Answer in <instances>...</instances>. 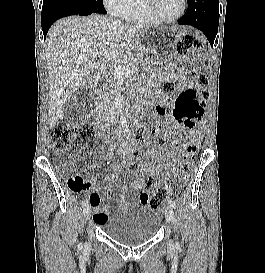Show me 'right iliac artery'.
<instances>
[{
  "label": "right iliac artery",
  "instance_id": "82829eb1",
  "mask_svg": "<svg viewBox=\"0 0 265 273\" xmlns=\"http://www.w3.org/2000/svg\"><path fill=\"white\" fill-rule=\"evenodd\" d=\"M88 203H89L88 200H84V201L82 202V206H83V207H86V206H88Z\"/></svg>",
  "mask_w": 265,
  "mask_h": 273
}]
</instances>
